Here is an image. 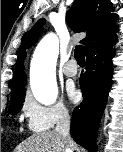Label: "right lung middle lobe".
<instances>
[{
    "label": "right lung middle lobe",
    "mask_w": 123,
    "mask_h": 152,
    "mask_svg": "<svg viewBox=\"0 0 123 152\" xmlns=\"http://www.w3.org/2000/svg\"><path fill=\"white\" fill-rule=\"evenodd\" d=\"M25 99V89H21L11 94V103L9 106V114H16L22 108Z\"/></svg>",
    "instance_id": "right-lung-middle-lobe-1"
}]
</instances>
